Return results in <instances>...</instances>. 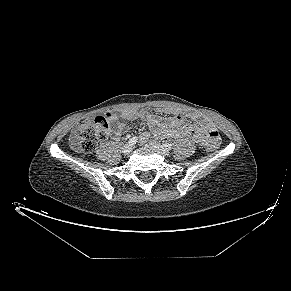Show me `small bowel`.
<instances>
[{"mask_svg":"<svg viewBox=\"0 0 291 291\" xmlns=\"http://www.w3.org/2000/svg\"><path fill=\"white\" fill-rule=\"evenodd\" d=\"M158 110L161 113H173L172 108H160ZM122 117L127 122L135 120L145 122L150 128V132L158 137L181 138L190 136L193 140L201 144H205L211 134L217 132L212 123L197 114H190V117L198 123V126L195 127L184 124V119L180 115L161 117L145 110H126L122 113ZM127 127V123L121 122L117 125L114 133L119 135ZM149 136V132H143L140 135V140L145 141Z\"/></svg>","mask_w":291,"mask_h":291,"instance_id":"small-bowel-1","label":"small bowel"}]
</instances>
